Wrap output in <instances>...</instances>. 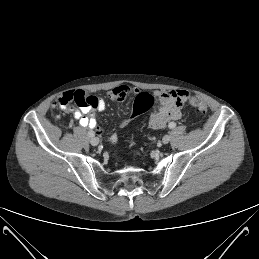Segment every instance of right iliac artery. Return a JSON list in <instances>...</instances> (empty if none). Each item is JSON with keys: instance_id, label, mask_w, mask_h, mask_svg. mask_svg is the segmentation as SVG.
Masks as SVG:
<instances>
[{"instance_id": "obj_1", "label": "right iliac artery", "mask_w": 259, "mask_h": 259, "mask_svg": "<svg viewBox=\"0 0 259 259\" xmlns=\"http://www.w3.org/2000/svg\"><path fill=\"white\" fill-rule=\"evenodd\" d=\"M88 136H89V137H94V136H95V134H94V132H93V131H89V132H88Z\"/></svg>"}]
</instances>
